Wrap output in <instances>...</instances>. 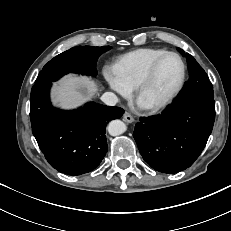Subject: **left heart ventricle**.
<instances>
[{
	"label": "left heart ventricle",
	"mask_w": 231,
	"mask_h": 231,
	"mask_svg": "<svg viewBox=\"0 0 231 231\" xmlns=\"http://www.w3.org/2000/svg\"><path fill=\"white\" fill-rule=\"evenodd\" d=\"M181 76V63L175 56H169L159 65L151 83L141 97L142 104L161 100L177 85Z\"/></svg>",
	"instance_id": "obj_1"
}]
</instances>
